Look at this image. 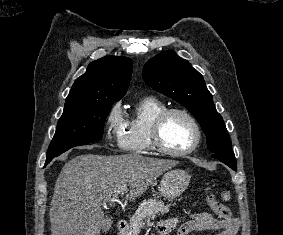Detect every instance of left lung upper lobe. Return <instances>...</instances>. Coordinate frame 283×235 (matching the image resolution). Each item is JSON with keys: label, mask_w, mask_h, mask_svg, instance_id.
I'll list each match as a JSON object with an SVG mask.
<instances>
[{"label": "left lung upper lobe", "mask_w": 283, "mask_h": 235, "mask_svg": "<svg viewBox=\"0 0 283 235\" xmlns=\"http://www.w3.org/2000/svg\"><path fill=\"white\" fill-rule=\"evenodd\" d=\"M143 79L190 111L207 136V146L212 153H234L226 126L202 75L187 60L174 51L162 52L145 64Z\"/></svg>", "instance_id": "5c2ea615"}]
</instances>
